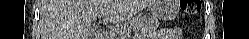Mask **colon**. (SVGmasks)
<instances>
[{
    "label": "colon",
    "mask_w": 249,
    "mask_h": 39,
    "mask_svg": "<svg viewBox=\"0 0 249 39\" xmlns=\"http://www.w3.org/2000/svg\"><path fill=\"white\" fill-rule=\"evenodd\" d=\"M181 10L187 15H194L200 10V0H181Z\"/></svg>",
    "instance_id": "1"
}]
</instances>
